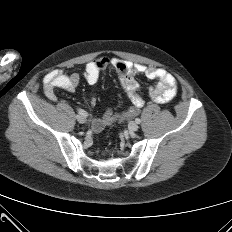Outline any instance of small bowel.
<instances>
[{"instance_id":"obj_1","label":"small bowel","mask_w":232,"mask_h":232,"mask_svg":"<svg viewBox=\"0 0 232 232\" xmlns=\"http://www.w3.org/2000/svg\"><path fill=\"white\" fill-rule=\"evenodd\" d=\"M109 66L117 72L119 83L131 100L135 99L134 96L139 89V83L136 80L137 75H144L151 80H158V83L149 89V96L156 103H168L177 94L176 79L167 70L106 56L97 58L88 63L82 73L67 74L61 70L50 71L43 81L44 93L49 100L56 101V88H61L70 92L74 91L82 78L88 84L94 85L97 83L100 73ZM95 102L96 99L93 97L91 99V104L95 105ZM142 105L143 103H137L134 106V115ZM119 114L120 113H114L111 109H108L101 117L93 120V130L95 132H100L107 125L117 122L116 120Z\"/></svg>"}]
</instances>
